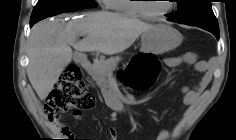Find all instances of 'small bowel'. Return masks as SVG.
Instances as JSON below:
<instances>
[{
    "label": "small bowel",
    "mask_w": 236,
    "mask_h": 140,
    "mask_svg": "<svg viewBox=\"0 0 236 140\" xmlns=\"http://www.w3.org/2000/svg\"><path fill=\"white\" fill-rule=\"evenodd\" d=\"M164 63L170 68H176L183 64H191L197 71L203 72L200 81L197 83L194 89H189L188 87L183 89V107H185L187 110L191 109L196 105L200 95L204 92L211 81L212 75L207 70V63L203 60H199L197 54L193 52H187L174 57H167L165 58ZM63 133L68 137L71 136V132L66 127L63 128ZM168 138L169 132L167 130H161L156 140H168ZM110 140H117L116 131L112 128L110 129Z\"/></svg>",
    "instance_id": "small-bowel-1"
}]
</instances>
